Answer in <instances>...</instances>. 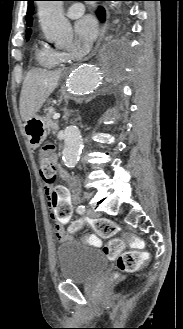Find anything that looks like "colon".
<instances>
[{
	"instance_id": "colon-1",
	"label": "colon",
	"mask_w": 183,
	"mask_h": 329,
	"mask_svg": "<svg viewBox=\"0 0 183 329\" xmlns=\"http://www.w3.org/2000/svg\"><path fill=\"white\" fill-rule=\"evenodd\" d=\"M54 146L47 144L41 151V176L48 188L52 187L56 180V167L53 160ZM92 228L95 233L103 239H110L103 247L104 254L111 259H116L117 268L121 272H132L140 264L149 258V253L144 251V242L140 239H133L128 236L115 238L117 226L114 222L99 218L92 220ZM77 225L73 226V230ZM126 241H130L134 247L133 251L123 252Z\"/></svg>"
}]
</instances>
